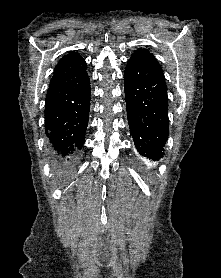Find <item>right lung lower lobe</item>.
<instances>
[{
    "label": "right lung lower lobe",
    "instance_id": "1",
    "mask_svg": "<svg viewBox=\"0 0 221 278\" xmlns=\"http://www.w3.org/2000/svg\"><path fill=\"white\" fill-rule=\"evenodd\" d=\"M90 81L87 72L54 87L45 100V132L56 154V161L66 168L81 149L89 120Z\"/></svg>",
    "mask_w": 221,
    "mask_h": 278
}]
</instances>
